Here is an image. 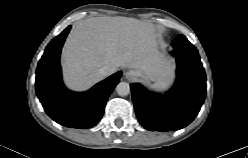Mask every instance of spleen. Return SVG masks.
Wrapping results in <instances>:
<instances>
[{
	"mask_svg": "<svg viewBox=\"0 0 248 158\" xmlns=\"http://www.w3.org/2000/svg\"><path fill=\"white\" fill-rule=\"evenodd\" d=\"M172 81H173V78L171 75H169L163 79L156 81L154 84L150 86V88L155 91H163L172 84Z\"/></svg>",
	"mask_w": 248,
	"mask_h": 158,
	"instance_id": "1",
	"label": "spleen"
}]
</instances>
